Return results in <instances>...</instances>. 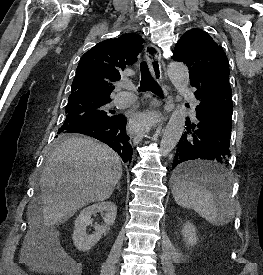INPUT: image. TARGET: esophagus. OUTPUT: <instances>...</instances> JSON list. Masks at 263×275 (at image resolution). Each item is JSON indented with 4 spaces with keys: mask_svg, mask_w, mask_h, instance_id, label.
Returning a JSON list of instances; mask_svg holds the SVG:
<instances>
[{
    "mask_svg": "<svg viewBox=\"0 0 263 275\" xmlns=\"http://www.w3.org/2000/svg\"><path fill=\"white\" fill-rule=\"evenodd\" d=\"M145 52H146V59L149 63V66L151 68V72L153 74V77L159 82V83H162L163 85V82H162V70H161V51L160 49L152 44V43H149L147 46H146V49H145ZM160 105V101H155L153 103V107L154 108H157L159 107ZM171 108H168L167 112L170 111ZM153 115H154V112H153ZM161 120H159L160 122ZM143 135H144V131L138 133V134H133L132 135V140H133V143L136 145L138 144L142 138H143Z\"/></svg>",
    "mask_w": 263,
    "mask_h": 275,
    "instance_id": "34e87169",
    "label": "esophagus"
}]
</instances>
